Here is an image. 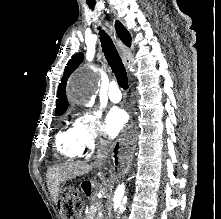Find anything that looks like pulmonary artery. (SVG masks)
<instances>
[{"instance_id":"1","label":"pulmonary artery","mask_w":221,"mask_h":219,"mask_svg":"<svg viewBox=\"0 0 221 219\" xmlns=\"http://www.w3.org/2000/svg\"><path fill=\"white\" fill-rule=\"evenodd\" d=\"M108 97L114 103L121 101L122 94L117 82L113 81L109 84Z\"/></svg>"}]
</instances>
